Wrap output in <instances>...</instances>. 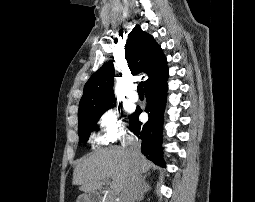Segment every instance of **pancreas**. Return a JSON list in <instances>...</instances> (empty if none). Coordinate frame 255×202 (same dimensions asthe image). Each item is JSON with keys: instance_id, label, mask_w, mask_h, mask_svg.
<instances>
[{"instance_id": "1", "label": "pancreas", "mask_w": 255, "mask_h": 202, "mask_svg": "<svg viewBox=\"0 0 255 202\" xmlns=\"http://www.w3.org/2000/svg\"><path fill=\"white\" fill-rule=\"evenodd\" d=\"M102 202H113V200L110 197H105Z\"/></svg>"}]
</instances>
